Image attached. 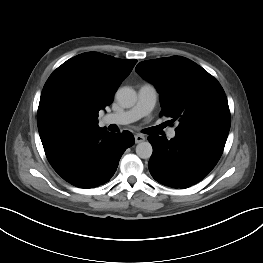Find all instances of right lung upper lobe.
<instances>
[{
    "instance_id": "cb5924a9",
    "label": "right lung upper lobe",
    "mask_w": 263,
    "mask_h": 263,
    "mask_svg": "<svg viewBox=\"0 0 263 263\" xmlns=\"http://www.w3.org/2000/svg\"><path fill=\"white\" fill-rule=\"evenodd\" d=\"M136 62L87 52L59 66L41 93L37 124L42 143L61 137L51 130L48 122L49 108L61 96H69L84 106L89 113L91 129L99 128L96 121L99 110L113 102L114 93Z\"/></svg>"
}]
</instances>
